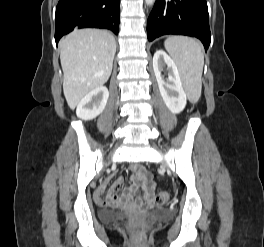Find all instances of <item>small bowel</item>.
Here are the masks:
<instances>
[{
	"label": "small bowel",
	"instance_id": "c3829d8e",
	"mask_svg": "<svg viewBox=\"0 0 264 247\" xmlns=\"http://www.w3.org/2000/svg\"><path fill=\"white\" fill-rule=\"evenodd\" d=\"M131 185L120 190L122 178H118L110 189L109 196L105 197L101 190L96 193V200L100 203L110 202L112 204L121 205L127 202L129 198L134 197L138 191L143 188V197L150 201L155 194L156 186L151 181V177L146 173L142 164H134L130 167Z\"/></svg>",
	"mask_w": 264,
	"mask_h": 247
}]
</instances>
